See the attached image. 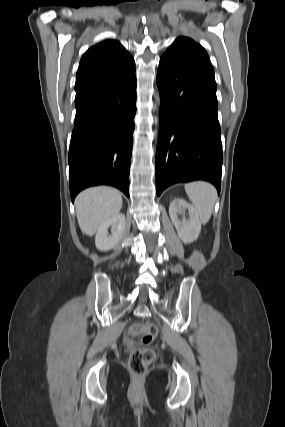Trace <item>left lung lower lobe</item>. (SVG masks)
<instances>
[{
    "label": "left lung lower lobe",
    "mask_w": 285,
    "mask_h": 427,
    "mask_svg": "<svg viewBox=\"0 0 285 427\" xmlns=\"http://www.w3.org/2000/svg\"><path fill=\"white\" fill-rule=\"evenodd\" d=\"M156 192L178 182L207 180L220 192L222 143L216 86L161 58Z\"/></svg>",
    "instance_id": "1"
}]
</instances>
